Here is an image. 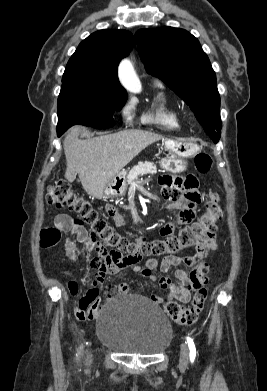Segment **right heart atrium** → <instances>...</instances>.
Masks as SVG:
<instances>
[{"instance_id":"d8ad5b80","label":"right heart atrium","mask_w":267,"mask_h":391,"mask_svg":"<svg viewBox=\"0 0 267 391\" xmlns=\"http://www.w3.org/2000/svg\"><path fill=\"white\" fill-rule=\"evenodd\" d=\"M133 113V104L130 101H127L123 104V106L120 109V115L123 120H128Z\"/></svg>"}]
</instances>
